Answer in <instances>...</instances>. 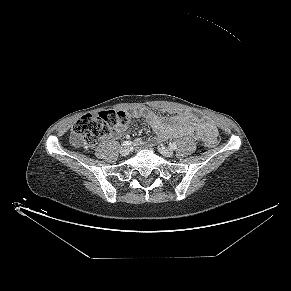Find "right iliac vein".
Instances as JSON below:
<instances>
[{"label": "right iliac vein", "instance_id": "1", "mask_svg": "<svg viewBox=\"0 0 291 291\" xmlns=\"http://www.w3.org/2000/svg\"><path fill=\"white\" fill-rule=\"evenodd\" d=\"M129 152H130V149L127 146H123L120 148V154L122 156H127L129 154Z\"/></svg>", "mask_w": 291, "mask_h": 291}]
</instances>
